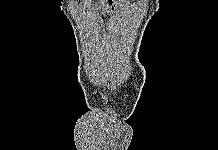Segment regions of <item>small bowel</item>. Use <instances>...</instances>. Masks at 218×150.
<instances>
[{
    "label": "small bowel",
    "instance_id": "c3829d8e",
    "mask_svg": "<svg viewBox=\"0 0 218 150\" xmlns=\"http://www.w3.org/2000/svg\"><path fill=\"white\" fill-rule=\"evenodd\" d=\"M104 15H108L115 10L113 0H99Z\"/></svg>",
    "mask_w": 218,
    "mask_h": 150
}]
</instances>
